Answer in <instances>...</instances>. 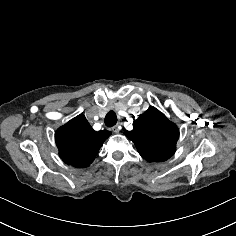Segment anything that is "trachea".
<instances>
[{
    "label": "trachea",
    "instance_id": "trachea-1",
    "mask_svg": "<svg viewBox=\"0 0 236 236\" xmlns=\"http://www.w3.org/2000/svg\"><path fill=\"white\" fill-rule=\"evenodd\" d=\"M105 125L107 127H112L114 126L116 123H117V116H116V113L111 110L109 111L106 116H105Z\"/></svg>",
    "mask_w": 236,
    "mask_h": 236
}]
</instances>
